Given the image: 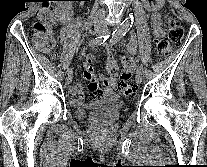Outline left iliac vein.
<instances>
[{
    "instance_id": "1",
    "label": "left iliac vein",
    "mask_w": 207,
    "mask_h": 167,
    "mask_svg": "<svg viewBox=\"0 0 207 167\" xmlns=\"http://www.w3.org/2000/svg\"><path fill=\"white\" fill-rule=\"evenodd\" d=\"M135 80H136V83L140 84L142 82V73L137 72Z\"/></svg>"
}]
</instances>
